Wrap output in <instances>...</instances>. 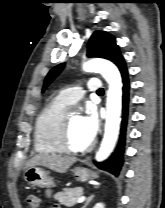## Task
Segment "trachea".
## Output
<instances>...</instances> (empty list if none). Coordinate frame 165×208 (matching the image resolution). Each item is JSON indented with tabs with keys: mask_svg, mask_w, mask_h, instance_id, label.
I'll use <instances>...</instances> for the list:
<instances>
[{
	"mask_svg": "<svg viewBox=\"0 0 165 208\" xmlns=\"http://www.w3.org/2000/svg\"><path fill=\"white\" fill-rule=\"evenodd\" d=\"M104 92V90L103 89H100L97 93L98 94H102Z\"/></svg>",
	"mask_w": 165,
	"mask_h": 208,
	"instance_id": "trachea-1",
	"label": "trachea"
}]
</instances>
